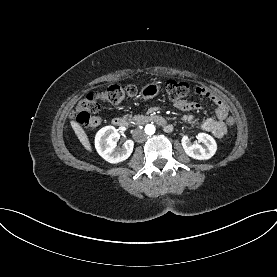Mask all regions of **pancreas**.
Here are the masks:
<instances>
[{
  "label": "pancreas",
  "mask_w": 277,
  "mask_h": 277,
  "mask_svg": "<svg viewBox=\"0 0 277 277\" xmlns=\"http://www.w3.org/2000/svg\"><path fill=\"white\" fill-rule=\"evenodd\" d=\"M126 117H127V116H126ZM129 119H130V120H136V119H137V116H134V117L129 116Z\"/></svg>",
  "instance_id": "cf45deb5"
}]
</instances>
